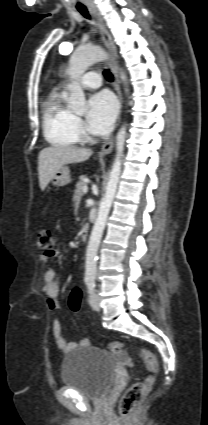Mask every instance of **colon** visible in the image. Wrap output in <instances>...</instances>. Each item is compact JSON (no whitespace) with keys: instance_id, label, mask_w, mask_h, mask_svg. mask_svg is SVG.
Returning <instances> with one entry per match:
<instances>
[{"instance_id":"obj_1","label":"colon","mask_w":208,"mask_h":425,"mask_svg":"<svg viewBox=\"0 0 208 425\" xmlns=\"http://www.w3.org/2000/svg\"><path fill=\"white\" fill-rule=\"evenodd\" d=\"M36 247L43 254L52 255L54 253V238L48 230H42L38 234ZM68 305L73 312L81 311L82 290L80 288L74 287L71 290ZM107 348L112 353L120 354L124 351L125 344L121 342H110L107 344ZM131 350L144 362L147 376L142 381L134 383L123 394L119 402V412L125 418L130 417L134 413L143 398L151 390L158 371L157 358L151 351L136 346H131Z\"/></svg>"}]
</instances>
